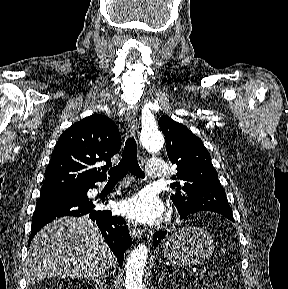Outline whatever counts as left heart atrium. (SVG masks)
<instances>
[{"instance_id": "obj_1", "label": "left heart atrium", "mask_w": 288, "mask_h": 289, "mask_svg": "<svg viewBox=\"0 0 288 289\" xmlns=\"http://www.w3.org/2000/svg\"><path fill=\"white\" fill-rule=\"evenodd\" d=\"M163 204L149 191H141L120 203V211L139 222L155 221L163 213Z\"/></svg>"}]
</instances>
